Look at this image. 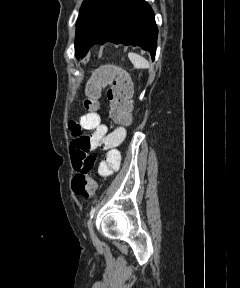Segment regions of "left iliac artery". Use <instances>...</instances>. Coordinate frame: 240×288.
Wrapping results in <instances>:
<instances>
[{"instance_id": "left-iliac-artery-1", "label": "left iliac artery", "mask_w": 240, "mask_h": 288, "mask_svg": "<svg viewBox=\"0 0 240 288\" xmlns=\"http://www.w3.org/2000/svg\"><path fill=\"white\" fill-rule=\"evenodd\" d=\"M94 213H95V207H93L90 211V218H93Z\"/></svg>"}]
</instances>
